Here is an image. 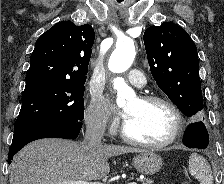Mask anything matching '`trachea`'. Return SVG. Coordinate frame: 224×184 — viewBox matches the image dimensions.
I'll return each mask as SVG.
<instances>
[{"label": "trachea", "instance_id": "1", "mask_svg": "<svg viewBox=\"0 0 224 184\" xmlns=\"http://www.w3.org/2000/svg\"><path fill=\"white\" fill-rule=\"evenodd\" d=\"M118 2H122L123 0H117Z\"/></svg>", "mask_w": 224, "mask_h": 184}]
</instances>
